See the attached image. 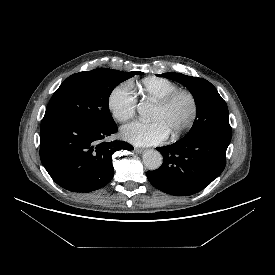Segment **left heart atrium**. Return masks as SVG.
<instances>
[{"label": "left heart atrium", "instance_id": "left-heart-atrium-1", "mask_svg": "<svg viewBox=\"0 0 275 275\" xmlns=\"http://www.w3.org/2000/svg\"><path fill=\"white\" fill-rule=\"evenodd\" d=\"M122 138L136 146H149L165 141L170 133L161 121H134L121 130Z\"/></svg>", "mask_w": 275, "mask_h": 275}]
</instances>
